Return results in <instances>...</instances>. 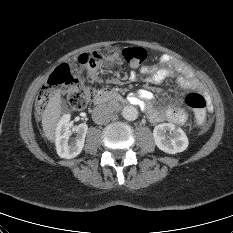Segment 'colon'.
I'll list each match as a JSON object with an SVG mask.
<instances>
[{
  "label": "colon",
  "mask_w": 233,
  "mask_h": 233,
  "mask_svg": "<svg viewBox=\"0 0 233 233\" xmlns=\"http://www.w3.org/2000/svg\"><path fill=\"white\" fill-rule=\"evenodd\" d=\"M121 57L131 66H139L147 57L146 51L141 47H128L122 50ZM79 61L88 72L96 73L103 62L102 55L97 51L83 53ZM55 93L65 95L70 105L75 109L85 108L94 98V90L76 77L71 68L60 65L49 77L45 86L38 94L36 107L42 111L48 100ZM185 104L194 111L196 124L203 127L206 124V99L198 92L189 93L185 97Z\"/></svg>",
  "instance_id": "5ec220e1"
}]
</instances>
